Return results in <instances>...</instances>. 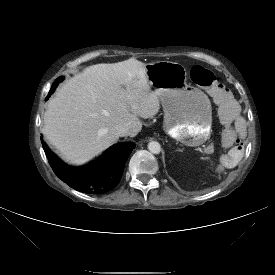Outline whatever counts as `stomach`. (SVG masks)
<instances>
[{
	"label": "stomach",
	"mask_w": 275,
	"mask_h": 275,
	"mask_svg": "<svg viewBox=\"0 0 275 275\" xmlns=\"http://www.w3.org/2000/svg\"><path fill=\"white\" fill-rule=\"evenodd\" d=\"M145 72L163 107L165 133L187 146L206 142L211 134V103L204 92L187 83L184 66L157 61L146 64Z\"/></svg>",
	"instance_id": "0dacf381"
}]
</instances>
